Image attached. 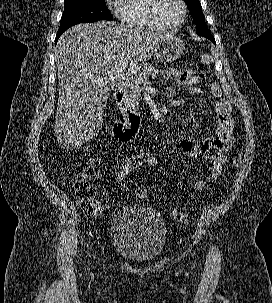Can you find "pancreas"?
I'll list each match as a JSON object with an SVG mask.
<instances>
[{"label": "pancreas", "instance_id": "pancreas-1", "mask_svg": "<svg viewBox=\"0 0 272 303\" xmlns=\"http://www.w3.org/2000/svg\"><path fill=\"white\" fill-rule=\"evenodd\" d=\"M158 70L153 66H148L142 70L141 73L132 78L131 83L126 86V95L132 105H138V99L140 93L143 91L145 86L148 84V79L150 76L152 78L156 77Z\"/></svg>", "mask_w": 272, "mask_h": 303}]
</instances>
